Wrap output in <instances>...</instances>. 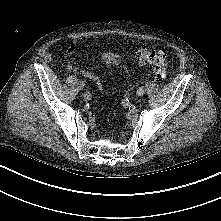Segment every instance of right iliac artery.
Returning <instances> with one entry per match:
<instances>
[{"label": "right iliac artery", "mask_w": 221, "mask_h": 221, "mask_svg": "<svg viewBox=\"0 0 221 221\" xmlns=\"http://www.w3.org/2000/svg\"><path fill=\"white\" fill-rule=\"evenodd\" d=\"M84 99L85 100H90L91 99V93L89 91H86L83 95Z\"/></svg>", "instance_id": "82829eb1"}]
</instances>
